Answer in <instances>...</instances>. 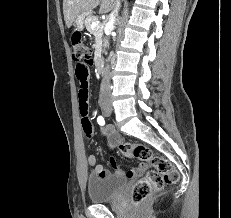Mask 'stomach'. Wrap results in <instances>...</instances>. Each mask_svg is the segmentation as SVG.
I'll return each instance as SVG.
<instances>
[{"label":"stomach","mask_w":231,"mask_h":218,"mask_svg":"<svg viewBox=\"0 0 231 218\" xmlns=\"http://www.w3.org/2000/svg\"><path fill=\"white\" fill-rule=\"evenodd\" d=\"M85 16H87L86 14L82 13L79 14L76 19L74 20V26L76 27V29L78 30H83L84 28V18Z\"/></svg>","instance_id":"stomach-1"}]
</instances>
